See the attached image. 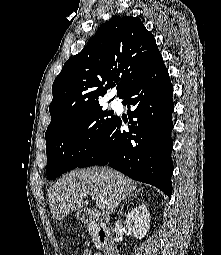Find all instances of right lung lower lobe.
Segmentation results:
<instances>
[{
	"instance_id": "obj_1",
	"label": "right lung lower lobe",
	"mask_w": 221,
	"mask_h": 255,
	"mask_svg": "<svg viewBox=\"0 0 221 255\" xmlns=\"http://www.w3.org/2000/svg\"><path fill=\"white\" fill-rule=\"evenodd\" d=\"M173 86L162 56L123 94L129 131L116 116L96 147L77 167L109 164L132 179L172 194ZM132 108V110H130Z\"/></svg>"
}]
</instances>
